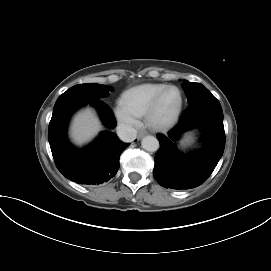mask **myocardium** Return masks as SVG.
Listing matches in <instances>:
<instances>
[{
  "instance_id": "1",
  "label": "myocardium",
  "mask_w": 271,
  "mask_h": 271,
  "mask_svg": "<svg viewBox=\"0 0 271 271\" xmlns=\"http://www.w3.org/2000/svg\"><path fill=\"white\" fill-rule=\"evenodd\" d=\"M171 89L176 90L179 94L178 106L175 109L174 113L169 118H167L165 120H160L157 117L160 103H161L165 93ZM183 103H184L183 94H182V91L180 90V88H178L175 85H168V86L164 87L155 96V98L153 99V101L151 102V104L147 110V113L145 115L147 123L149 124L150 127H152L153 129H155L157 131H165V130L170 129L178 121L180 114L182 112Z\"/></svg>"
}]
</instances>
